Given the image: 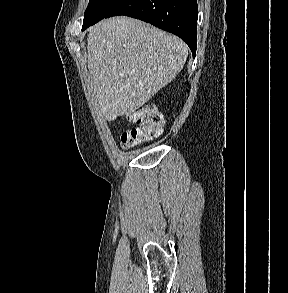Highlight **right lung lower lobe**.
Masks as SVG:
<instances>
[{"label": "right lung lower lobe", "instance_id": "obj_1", "mask_svg": "<svg viewBox=\"0 0 288 293\" xmlns=\"http://www.w3.org/2000/svg\"><path fill=\"white\" fill-rule=\"evenodd\" d=\"M126 15L143 20L183 39L196 55L197 0H124L105 18Z\"/></svg>", "mask_w": 288, "mask_h": 293}]
</instances>
